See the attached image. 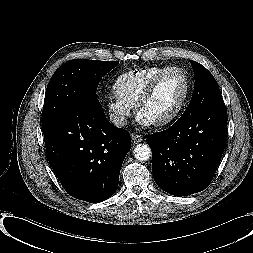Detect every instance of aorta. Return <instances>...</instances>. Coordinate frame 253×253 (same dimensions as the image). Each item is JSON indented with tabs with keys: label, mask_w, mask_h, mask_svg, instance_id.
<instances>
[{
	"label": "aorta",
	"mask_w": 253,
	"mask_h": 253,
	"mask_svg": "<svg viewBox=\"0 0 253 253\" xmlns=\"http://www.w3.org/2000/svg\"><path fill=\"white\" fill-rule=\"evenodd\" d=\"M135 158L139 161H146L151 156V149L147 144H138L133 151Z\"/></svg>",
	"instance_id": "aorta-1"
}]
</instances>
